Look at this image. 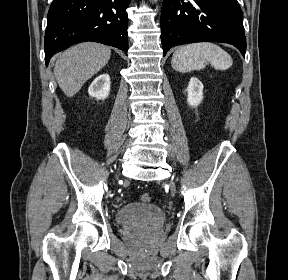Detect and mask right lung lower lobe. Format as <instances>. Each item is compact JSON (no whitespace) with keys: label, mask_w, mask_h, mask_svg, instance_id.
<instances>
[{"label":"right lung lower lobe","mask_w":288,"mask_h":280,"mask_svg":"<svg viewBox=\"0 0 288 280\" xmlns=\"http://www.w3.org/2000/svg\"><path fill=\"white\" fill-rule=\"evenodd\" d=\"M130 1L53 0L45 34L46 65L57 52L85 41L117 47L127 54Z\"/></svg>","instance_id":"98d812e1"}]
</instances>
